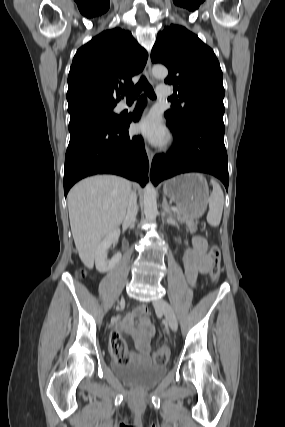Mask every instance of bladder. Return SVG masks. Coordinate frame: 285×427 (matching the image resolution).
Segmentation results:
<instances>
[{
    "mask_svg": "<svg viewBox=\"0 0 285 427\" xmlns=\"http://www.w3.org/2000/svg\"><path fill=\"white\" fill-rule=\"evenodd\" d=\"M112 368L120 378L140 388L153 387L167 372L164 366L144 362H114Z\"/></svg>",
    "mask_w": 285,
    "mask_h": 427,
    "instance_id": "1",
    "label": "bladder"
}]
</instances>
